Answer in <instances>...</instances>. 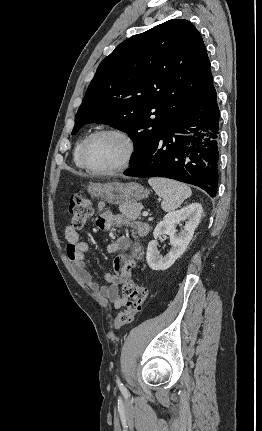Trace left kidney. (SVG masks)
Returning <instances> with one entry per match:
<instances>
[{
    "label": "left kidney",
    "mask_w": 262,
    "mask_h": 431,
    "mask_svg": "<svg viewBox=\"0 0 262 431\" xmlns=\"http://www.w3.org/2000/svg\"><path fill=\"white\" fill-rule=\"evenodd\" d=\"M203 209L201 204L194 203L180 210L166 214L154 229V239L147 247V263L152 270H166L185 252L194 231L199 225ZM185 222L183 229L176 234V226ZM162 235L170 236L171 249L167 255L161 256L157 250V239Z\"/></svg>",
    "instance_id": "1"
}]
</instances>
